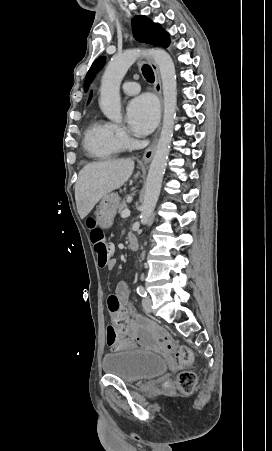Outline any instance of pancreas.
<instances>
[{"mask_svg":"<svg viewBox=\"0 0 272 451\" xmlns=\"http://www.w3.org/2000/svg\"><path fill=\"white\" fill-rule=\"evenodd\" d=\"M123 210H127V204H126V202H122V204H120V206H119V208H118L119 214H121V212H123Z\"/></svg>","mask_w":272,"mask_h":451,"instance_id":"cf45deb5","label":"pancreas"}]
</instances>
